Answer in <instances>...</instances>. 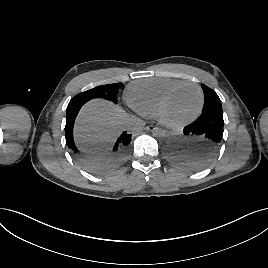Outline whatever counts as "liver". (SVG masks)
Segmentation results:
<instances>
[{"label":"liver","instance_id":"liver-1","mask_svg":"<svg viewBox=\"0 0 268 268\" xmlns=\"http://www.w3.org/2000/svg\"><path fill=\"white\" fill-rule=\"evenodd\" d=\"M127 119L120 106L105 100H92L84 105L77 118L76 141L83 146L109 143L126 129Z\"/></svg>","mask_w":268,"mask_h":268}]
</instances>
